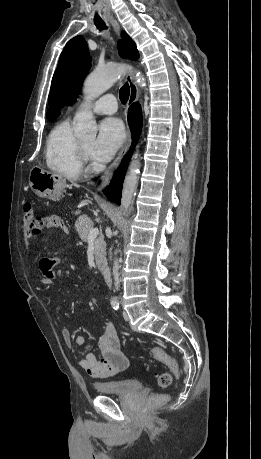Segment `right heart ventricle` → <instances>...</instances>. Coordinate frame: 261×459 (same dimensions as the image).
Returning <instances> with one entry per match:
<instances>
[{
    "label": "right heart ventricle",
    "mask_w": 261,
    "mask_h": 459,
    "mask_svg": "<svg viewBox=\"0 0 261 459\" xmlns=\"http://www.w3.org/2000/svg\"><path fill=\"white\" fill-rule=\"evenodd\" d=\"M78 143L69 119L56 124L46 140L47 167L65 178L77 179L82 173V159Z\"/></svg>",
    "instance_id": "e07e8e85"
}]
</instances>
